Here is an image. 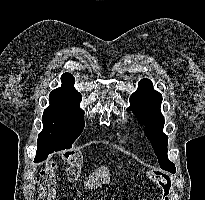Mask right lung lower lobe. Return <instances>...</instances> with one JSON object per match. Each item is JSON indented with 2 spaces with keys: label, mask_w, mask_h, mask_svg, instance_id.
Instances as JSON below:
<instances>
[{
  "label": "right lung lower lobe",
  "mask_w": 205,
  "mask_h": 200,
  "mask_svg": "<svg viewBox=\"0 0 205 200\" xmlns=\"http://www.w3.org/2000/svg\"><path fill=\"white\" fill-rule=\"evenodd\" d=\"M59 149V146L53 141H37V152L34 162H39L46 159L50 153L59 151Z\"/></svg>",
  "instance_id": "obj_1"
}]
</instances>
